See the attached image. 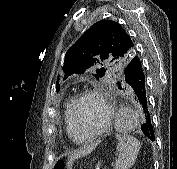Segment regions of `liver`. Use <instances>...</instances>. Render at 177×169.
Wrapping results in <instances>:
<instances>
[{
	"instance_id": "6515ba94",
	"label": "liver",
	"mask_w": 177,
	"mask_h": 169,
	"mask_svg": "<svg viewBox=\"0 0 177 169\" xmlns=\"http://www.w3.org/2000/svg\"><path fill=\"white\" fill-rule=\"evenodd\" d=\"M84 153H85L84 151H80V152H76V153L72 154L71 157L69 158L68 166H71L73 161H74V159L80 157Z\"/></svg>"
}]
</instances>
